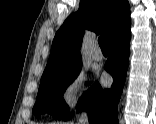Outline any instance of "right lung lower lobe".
<instances>
[{"label": "right lung lower lobe", "mask_w": 156, "mask_h": 124, "mask_svg": "<svg viewBox=\"0 0 156 124\" xmlns=\"http://www.w3.org/2000/svg\"><path fill=\"white\" fill-rule=\"evenodd\" d=\"M130 29L114 38L110 43V56L105 64L114 81L110 89L103 90L99 83L86 93L77 109L87 111L90 124H118L117 105L125 83L129 59ZM73 113L63 119L70 120Z\"/></svg>", "instance_id": "1"}]
</instances>
